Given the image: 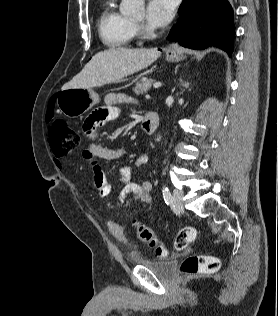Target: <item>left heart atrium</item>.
<instances>
[{"mask_svg": "<svg viewBox=\"0 0 278 316\" xmlns=\"http://www.w3.org/2000/svg\"><path fill=\"white\" fill-rule=\"evenodd\" d=\"M175 12L174 0H149L146 6V22L151 29L167 25Z\"/></svg>", "mask_w": 278, "mask_h": 316, "instance_id": "1", "label": "left heart atrium"}]
</instances>
